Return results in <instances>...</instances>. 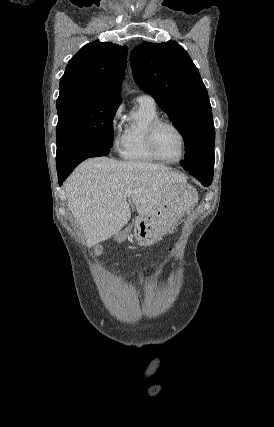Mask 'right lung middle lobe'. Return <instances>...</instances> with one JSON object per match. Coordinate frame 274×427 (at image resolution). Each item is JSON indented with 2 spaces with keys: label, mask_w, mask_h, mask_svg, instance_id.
Segmentation results:
<instances>
[{
  "label": "right lung middle lobe",
  "mask_w": 274,
  "mask_h": 427,
  "mask_svg": "<svg viewBox=\"0 0 274 427\" xmlns=\"http://www.w3.org/2000/svg\"><path fill=\"white\" fill-rule=\"evenodd\" d=\"M121 99H91L57 107V167L113 146V118Z\"/></svg>",
  "instance_id": "1"
}]
</instances>
